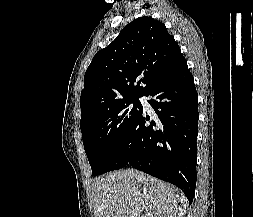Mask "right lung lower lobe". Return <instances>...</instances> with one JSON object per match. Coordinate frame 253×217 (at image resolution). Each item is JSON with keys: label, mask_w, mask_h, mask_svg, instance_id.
<instances>
[{"label": "right lung lower lobe", "mask_w": 253, "mask_h": 217, "mask_svg": "<svg viewBox=\"0 0 253 217\" xmlns=\"http://www.w3.org/2000/svg\"><path fill=\"white\" fill-rule=\"evenodd\" d=\"M145 96L158 116L143 112L119 150L112 170L129 164L179 187L192 203L196 186L198 94L187 62L155 83Z\"/></svg>", "instance_id": "1"}]
</instances>
